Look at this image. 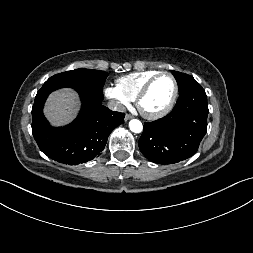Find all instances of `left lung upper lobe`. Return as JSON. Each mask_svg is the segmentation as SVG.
<instances>
[{
	"instance_id": "5c2ea615",
	"label": "left lung upper lobe",
	"mask_w": 253,
	"mask_h": 253,
	"mask_svg": "<svg viewBox=\"0 0 253 253\" xmlns=\"http://www.w3.org/2000/svg\"><path fill=\"white\" fill-rule=\"evenodd\" d=\"M172 74L178 83L179 92L186 90L192 83L196 82V80L188 74L177 71H172Z\"/></svg>"
}]
</instances>
